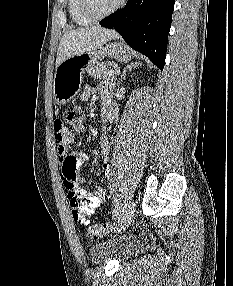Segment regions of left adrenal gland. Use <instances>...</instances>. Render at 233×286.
<instances>
[{"label": "left adrenal gland", "mask_w": 233, "mask_h": 286, "mask_svg": "<svg viewBox=\"0 0 233 286\" xmlns=\"http://www.w3.org/2000/svg\"><path fill=\"white\" fill-rule=\"evenodd\" d=\"M140 65V63H131V64H128L124 70H123V73L122 75L120 76V79L118 81V85L120 84V82L122 81V79H125L126 75L128 72H130L132 69H135L136 67H138Z\"/></svg>", "instance_id": "left-adrenal-gland-1"}]
</instances>
